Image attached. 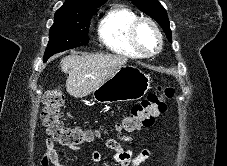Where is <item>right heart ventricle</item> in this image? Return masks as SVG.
I'll list each match as a JSON object with an SVG mask.
<instances>
[{"instance_id":"right-heart-ventricle-1","label":"right heart ventricle","mask_w":227,"mask_h":166,"mask_svg":"<svg viewBox=\"0 0 227 166\" xmlns=\"http://www.w3.org/2000/svg\"><path fill=\"white\" fill-rule=\"evenodd\" d=\"M138 16L122 5L111 7L100 19L98 37L111 52L139 58L141 55L132 47L128 38V28Z\"/></svg>"}]
</instances>
